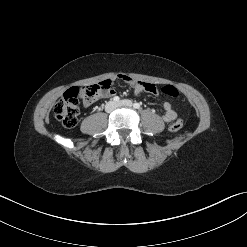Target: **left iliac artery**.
<instances>
[{
	"instance_id": "left-iliac-artery-1",
	"label": "left iliac artery",
	"mask_w": 247,
	"mask_h": 247,
	"mask_svg": "<svg viewBox=\"0 0 247 247\" xmlns=\"http://www.w3.org/2000/svg\"><path fill=\"white\" fill-rule=\"evenodd\" d=\"M134 108H136V109H139L140 108V104L139 103H134Z\"/></svg>"
}]
</instances>
